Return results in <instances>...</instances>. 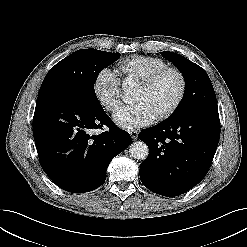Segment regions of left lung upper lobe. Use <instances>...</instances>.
I'll return each instance as SVG.
<instances>
[{"label": "left lung upper lobe", "instance_id": "5c2ea615", "mask_svg": "<svg viewBox=\"0 0 247 247\" xmlns=\"http://www.w3.org/2000/svg\"><path fill=\"white\" fill-rule=\"evenodd\" d=\"M161 55L173 62L183 74L186 83L185 96L179 108L169 119L192 111L217 108L215 92L204 69L173 52L164 51Z\"/></svg>", "mask_w": 247, "mask_h": 247}]
</instances>
